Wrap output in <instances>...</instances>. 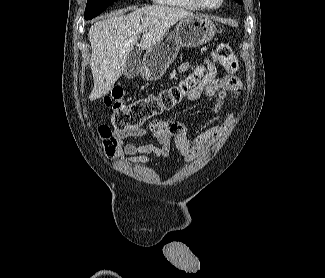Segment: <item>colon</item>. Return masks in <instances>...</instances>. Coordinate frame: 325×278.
<instances>
[{"instance_id":"1","label":"colon","mask_w":325,"mask_h":278,"mask_svg":"<svg viewBox=\"0 0 325 278\" xmlns=\"http://www.w3.org/2000/svg\"><path fill=\"white\" fill-rule=\"evenodd\" d=\"M213 56L228 74L233 75L238 71L239 61L229 44H218ZM200 76L201 70L197 68L178 84L166 87L132 103L124 101V92L121 88H113L104 97V104L110 112L113 130L141 128L148 121L173 109L194 88ZM98 133L103 140L104 150L107 153L113 152L116 143L112 136V129L107 125H100Z\"/></svg>"}]
</instances>
